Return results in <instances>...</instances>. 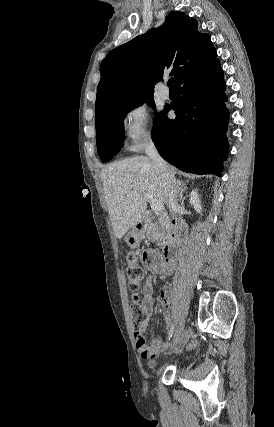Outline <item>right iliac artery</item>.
I'll return each mask as SVG.
<instances>
[{
  "instance_id": "obj_1",
  "label": "right iliac artery",
  "mask_w": 274,
  "mask_h": 427,
  "mask_svg": "<svg viewBox=\"0 0 274 427\" xmlns=\"http://www.w3.org/2000/svg\"><path fill=\"white\" fill-rule=\"evenodd\" d=\"M174 330H175V327H174V326H172V327L170 328V330H169V333H168V340H170V338L172 337V335H173V333H174Z\"/></svg>"
}]
</instances>
